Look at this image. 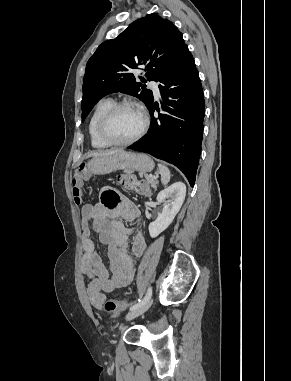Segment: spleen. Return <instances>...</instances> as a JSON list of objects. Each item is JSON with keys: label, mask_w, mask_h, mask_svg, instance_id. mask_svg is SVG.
Segmentation results:
<instances>
[{"label": "spleen", "mask_w": 291, "mask_h": 381, "mask_svg": "<svg viewBox=\"0 0 291 381\" xmlns=\"http://www.w3.org/2000/svg\"><path fill=\"white\" fill-rule=\"evenodd\" d=\"M158 168H159V173L161 175V183L163 185L168 184L171 177L170 170L168 169V167L162 164H158Z\"/></svg>", "instance_id": "3e777b00"}]
</instances>
